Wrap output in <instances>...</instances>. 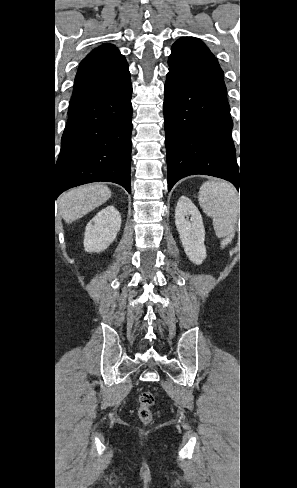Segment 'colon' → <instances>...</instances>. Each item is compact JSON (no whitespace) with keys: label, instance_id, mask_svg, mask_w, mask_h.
<instances>
[{"label":"colon","instance_id":"1","mask_svg":"<svg viewBox=\"0 0 297 488\" xmlns=\"http://www.w3.org/2000/svg\"><path fill=\"white\" fill-rule=\"evenodd\" d=\"M155 403V398L151 392L145 391L139 395L138 417L142 423L147 424L153 418L152 407Z\"/></svg>","mask_w":297,"mask_h":488}]
</instances>
